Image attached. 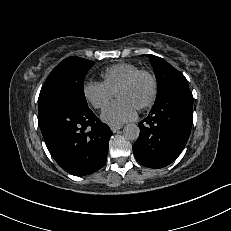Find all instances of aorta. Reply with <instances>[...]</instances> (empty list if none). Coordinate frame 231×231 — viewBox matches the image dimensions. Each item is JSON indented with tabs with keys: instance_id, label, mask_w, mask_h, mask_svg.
Returning a JSON list of instances; mask_svg holds the SVG:
<instances>
[{
	"instance_id": "762f6f07",
	"label": "aorta",
	"mask_w": 231,
	"mask_h": 231,
	"mask_svg": "<svg viewBox=\"0 0 231 231\" xmlns=\"http://www.w3.org/2000/svg\"><path fill=\"white\" fill-rule=\"evenodd\" d=\"M139 134H140V129H139L138 125H136L134 123H129V124L125 125L123 128V135L128 140L138 139Z\"/></svg>"
}]
</instances>
